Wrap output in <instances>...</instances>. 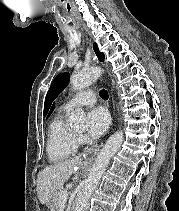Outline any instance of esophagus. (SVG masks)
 <instances>
[{
  "mask_svg": "<svg viewBox=\"0 0 179 211\" xmlns=\"http://www.w3.org/2000/svg\"><path fill=\"white\" fill-rule=\"evenodd\" d=\"M96 57L93 56V60H95ZM100 146L96 147H87L86 154H83V159H87V163H96L97 159L95 156L98 155V152H100Z\"/></svg>",
  "mask_w": 179,
  "mask_h": 211,
  "instance_id": "34e87169",
  "label": "esophagus"
}]
</instances>
